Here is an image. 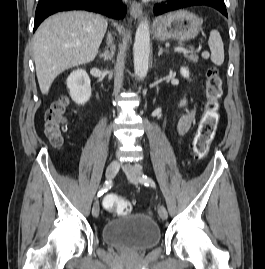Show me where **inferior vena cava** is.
I'll list each match as a JSON object with an SVG mask.
<instances>
[{"instance_id":"602c4592","label":"inferior vena cava","mask_w":265,"mask_h":269,"mask_svg":"<svg viewBox=\"0 0 265 269\" xmlns=\"http://www.w3.org/2000/svg\"><path fill=\"white\" fill-rule=\"evenodd\" d=\"M108 39H109V42H111V41H112L111 37H109Z\"/></svg>"}]
</instances>
